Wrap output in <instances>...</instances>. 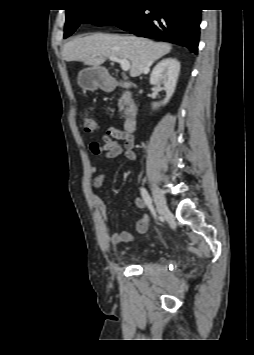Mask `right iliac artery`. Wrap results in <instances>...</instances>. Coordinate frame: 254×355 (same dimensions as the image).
Listing matches in <instances>:
<instances>
[{
  "mask_svg": "<svg viewBox=\"0 0 254 355\" xmlns=\"http://www.w3.org/2000/svg\"><path fill=\"white\" fill-rule=\"evenodd\" d=\"M140 191H141L142 198L144 199L147 207L149 208L152 215L156 218V211L153 206L152 199H151L150 195L148 194V192L145 188H141Z\"/></svg>",
  "mask_w": 254,
  "mask_h": 355,
  "instance_id": "obj_1",
  "label": "right iliac artery"
}]
</instances>
